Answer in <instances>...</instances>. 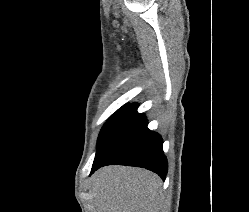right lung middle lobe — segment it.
I'll use <instances>...</instances> for the list:
<instances>
[{
  "label": "right lung middle lobe",
  "instance_id": "right-lung-middle-lobe-1",
  "mask_svg": "<svg viewBox=\"0 0 249 212\" xmlns=\"http://www.w3.org/2000/svg\"><path fill=\"white\" fill-rule=\"evenodd\" d=\"M130 104H126L122 106L118 111H116L109 120L104 124L103 128L101 129V132L98 137L97 146H99L100 142L104 138V136L107 134V132L110 130V127L113 125V123L120 117V115L124 112V110L129 106Z\"/></svg>",
  "mask_w": 249,
  "mask_h": 212
}]
</instances>
